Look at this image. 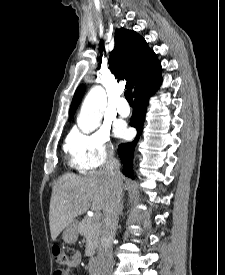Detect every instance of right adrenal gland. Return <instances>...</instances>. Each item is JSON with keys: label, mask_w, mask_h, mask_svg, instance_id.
<instances>
[{"label": "right adrenal gland", "mask_w": 225, "mask_h": 275, "mask_svg": "<svg viewBox=\"0 0 225 275\" xmlns=\"http://www.w3.org/2000/svg\"><path fill=\"white\" fill-rule=\"evenodd\" d=\"M123 210V202L121 203V206H120V211L122 212Z\"/></svg>", "instance_id": "right-adrenal-gland-1"}]
</instances>
